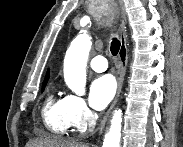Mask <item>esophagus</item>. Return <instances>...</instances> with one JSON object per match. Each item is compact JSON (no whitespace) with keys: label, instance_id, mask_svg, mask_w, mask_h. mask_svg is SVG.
Returning a JSON list of instances; mask_svg holds the SVG:
<instances>
[{"label":"esophagus","instance_id":"esophagus-1","mask_svg":"<svg viewBox=\"0 0 183 147\" xmlns=\"http://www.w3.org/2000/svg\"><path fill=\"white\" fill-rule=\"evenodd\" d=\"M120 11H121V22H120V50L118 53V57H119V77H118V86H117V92L115 95V98L109 108V110L107 111V113L105 114V116L103 117L101 124L98 128V133L99 135H101L104 131L106 122L109 118V115L112 111V109L114 108V106L117 103V100L119 98L121 89H122V85H123V81H124V77H125V73H126V67H127V40H126V12H125V7H124V3L123 1H120Z\"/></svg>","mask_w":183,"mask_h":147}]
</instances>
